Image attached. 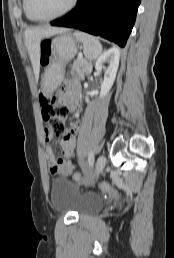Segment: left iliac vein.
Masks as SVG:
<instances>
[{"instance_id":"obj_1","label":"left iliac vein","mask_w":174,"mask_h":258,"mask_svg":"<svg viewBox=\"0 0 174 258\" xmlns=\"http://www.w3.org/2000/svg\"><path fill=\"white\" fill-rule=\"evenodd\" d=\"M106 165V158L105 156L101 155L98 157L96 161L95 166V178H98V176L102 173Z\"/></svg>"}]
</instances>
